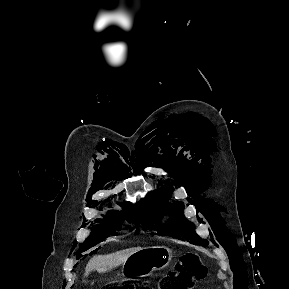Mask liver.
<instances>
[{
    "label": "liver",
    "mask_w": 289,
    "mask_h": 289,
    "mask_svg": "<svg viewBox=\"0 0 289 289\" xmlns=\"http://www.w3.org/2000/svg\"><path fill=\"white\" fill-rule=\"evenodd\" d=\"M142 248L135 247L122 250L109 255L94 256L87 264L85 268L84 276L87 277L90 272L96 270L99 273H105L114 267L123 264L130 256L138 252Z\"/></svg>",
    "instance_id": "obj_1"
}]
</instances>
